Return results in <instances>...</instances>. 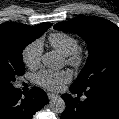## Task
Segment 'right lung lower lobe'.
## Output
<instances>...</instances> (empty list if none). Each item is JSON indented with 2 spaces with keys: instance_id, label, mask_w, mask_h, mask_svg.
I'll list each match as a JSON object with an SVG mask.
<instances>
[{
  "instance_id": "obj_1",
  "label": "right lung lower lobe",
  "mask_w": 119,
  "mask_h": 119,
  "mask_svg": "<svg viewBox=\"0 0 119 119\" xmlns=\"http://www.w3.org/2000/svg\"><path fill=\"white\" fill-rule=\"evenodd\" d=\"M47 102V94L40 88H32L23 97L21 90L13 87L0 93V119H32Z\"/></svg>"
}]
</instances>
